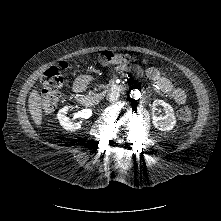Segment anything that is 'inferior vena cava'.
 <instances>
[{
  "label": "inferior vena cava",
  "instance_id": "obj_1",
  "mask_svg": "<svg viewBox=\"0 0 221 221\" xmlns=\"http://www.w3.org/2000/svg\"><path fill=\"white\" fill-rule=\"evenodd\" d=\"M105 97H106V100L113 101L117 97V95L115 93H109Z\"/></svg>",
  "mask_w": 221,
  "mask_h": 221
}]
</instances>
